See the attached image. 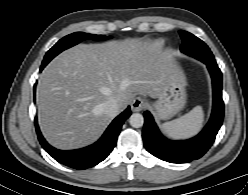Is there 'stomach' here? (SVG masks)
Listing matches in <instances>:
<instances>
[{
    "mask_svg": "<svg viewBox=\"0 0 248 195\" xmlns=\"http://www.w3.org/2000/svg\"><path fill=\"white\" fill-rule=\"evenodd\" d=\"M185 86L184 75L177 70L167 80L157 101L153 104L158 119H170L184 108L187 100Z\"/></svg>",
    "mask_w": 248,
    "mask_h": 195,
    "instance_id": "0dacf381",
    "label": "stomach"
}]
</instances>
